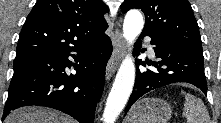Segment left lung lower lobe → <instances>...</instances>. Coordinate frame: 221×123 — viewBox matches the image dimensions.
<instances>
[{"mask_svg": "<svg viewBox=\"0 0 221 123\" xmlns=\"http://www.w3.org/2000/svg\"><path fill=\"white\" fill-rule=\"evenodd\" d=\"M149 36L157 58L156 62H146L153 69L145 71L137 69L133 92L130 95L126 112L133 103L145 93L156 88L176 83L187 82L199 87L207 93V82L204 75L203 51L200 49L177 46L142 32L140 38ZM141 43V41H140ZM140 43L135 45V54H140ZM137 64L145 66V62L137 60Z\"/></svg>", "mask_w": 221, "mask_h": 123, "instance_id": "obj_1", "label": "left lung lower lobe"}]
</instances>
